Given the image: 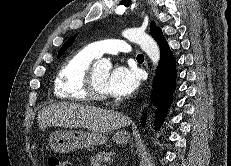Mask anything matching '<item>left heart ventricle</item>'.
Returning a JSON list of instances; mask_svg holds the SVG:
<instances>
[{
    "label": "left heart ventricle",
    "mask_w": 231,
    "mask_h": 166,
    "mask_svg": "<svg viewBox=\"0 0 231 166\" xmlns=\"http://www.w3.org/2000/svg\"><path fill=\"white\" fill-rule=\"evenodd\" d=\"M94 74H95L96 82L98 86L100 87V89L107 93L106 88H105V83L108 77V71L100 69V68H95Z\"/></svg>",
    "instance_id": "left-heart-ventricle-1"
}]
</instances>
